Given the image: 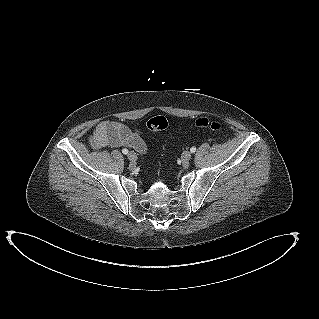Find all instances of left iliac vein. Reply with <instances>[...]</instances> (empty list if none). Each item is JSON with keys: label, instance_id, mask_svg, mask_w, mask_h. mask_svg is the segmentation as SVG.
<instances>
[{"label": "left iliac vein", "instance_id": "obj_1", "mask_svg": "<svg viewBox=\"0 0 319 319\" xmlns=\"http://www.w3.org/2000/svg\"><path fill=\"white\" fill-rule=\"evenodd\" d=\"M191 156H192V154H191L190 151H184V152L182 153L181 159H182V161H183L184 163H186V162H188V161L191 159Z\"/></svg>", "mask_w": 319, "mask_h": 319}]
</instances>
